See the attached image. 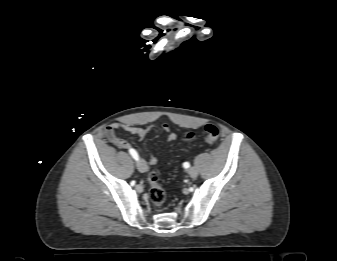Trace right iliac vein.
Returning a JSON list of instances; mask_svg holds the SVG:
<instances>
[{
  "label": "right iliac vein",
  "instance_id": "1",
  "mask_svg": "<svg viewBox=\"0 0 337 261\" xmlns=\"http://www.w3.org/2000/svg\"><path fill=\"white\" fill-rule=\"evenodd\" d=\"M136 167L140 172H146L147 171V165H146L145 161L142 160V159L137 161Z\"/></svg>",
  "mask_w": 337,
  "mask_h": 261
}]
</instances>
